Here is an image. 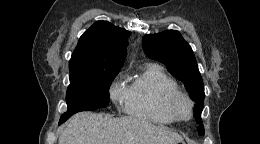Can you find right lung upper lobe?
Wrapping results in <instances>:
<instances>
[{
    "label": "right lung upper lobe",
    "mask_w": 260,
    "mask_h": 144,
    "mask_svg": "<svg viewBox=\"0 0 260 144\" xmlns=\"http://www.w3.org/2000/svg\"><path fill=\"white\" fill-rule=\"evenodd\" d=\"M130 32L108 21L95 22L80 37L69 62L70 75L120 70Z\"/></svg>",
    "instance_id": "obj_1"
}]
</instances>
